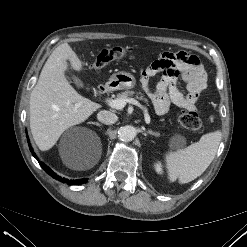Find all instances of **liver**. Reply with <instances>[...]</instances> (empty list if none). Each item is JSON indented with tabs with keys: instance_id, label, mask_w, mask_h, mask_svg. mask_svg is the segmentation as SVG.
<instances>
[{
	"instance_id": "6515ba94",
	"label": "liver",
	"mask_w": 247,
	"mask_h": 247,
	"mask_svg": "<svg viewBox=\"0 0 247 247\" xmlns=\"http://www.w3.org/2000/svg\"><path fill=\"white\" fill-rule=\"evenodd\" d=\"M81 72L82 62L69 44L59 45L47 59L30 96V129L40 150L51 149L70 127L88 119L101 105L79 95L67 81L65 71ZM100 159L66 163L73 170L92 168Z\"/></svg>"
}]
</instances>
